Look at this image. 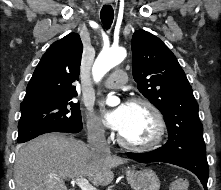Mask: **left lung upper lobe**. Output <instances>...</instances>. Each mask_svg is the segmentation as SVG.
<instances>
[{
	"label": "left lung upper lobe",
	"instance_id": "5c2ea615",
	"mask_svg": "<svg viewBox=\"0 0 221 190\" xmlns=\"http://www.w3.org/2000/svg\"><path fill=\"white\" fill-rule=\"evenodd\" d=\"M132 56L137 88L163 114L173 148L206 151L199 107L175 55L159 38L138 30Z\"/></svg>",
	"mask_w": 221,
	"mask_h": 190
}]
</instances>
